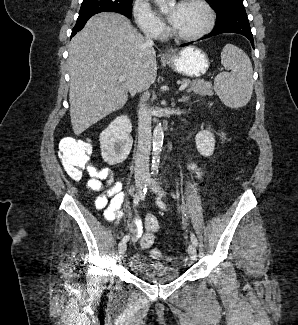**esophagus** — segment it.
<instances>
[{"label": "esophagus", "mask_w": 298, "mask_h": 325, "mask_svg": "<svg viewBox=\"0 0 298 325\" xmlns=\"http://www.w3.org/2000/svg\"><path fill=\"white\" fill-rule=\"evenodd\" d=\"M163 56L166 57V58H170L171 57V51L170 50H165L163 52Z\"/></svg>", "instance_id": "esophagus-1"}]
</instances>
